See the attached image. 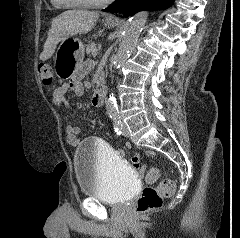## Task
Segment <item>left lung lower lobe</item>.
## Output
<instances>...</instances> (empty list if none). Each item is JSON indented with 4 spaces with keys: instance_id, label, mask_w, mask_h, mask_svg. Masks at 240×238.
Returning <instances> with one entry per match:
<instances>
[{
    "instance_id": "0a47b994",
    "label": "left lung lower lobe",
    "mask_w": 240,
    "mask_h": 238,
    "mask_svg": "<svg viewBox=\"0 0 240 238\" xmlns=\"http://www.w3.org/2000/svg\"><path fill=\"white\" fill-rule=\"evenodd\" d=\"M173 2L174 0H115L103 11L119 12L128 17L142 10H163L170 7Z\"/></svg>"
}]
</instances>
